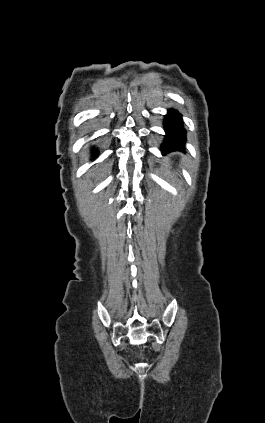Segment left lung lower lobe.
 I'll return each instance as SVG.
<instances>
[{
	"label": "left lung lower lobe",
	"instance_id": "obj_1",
	"mask_svg": "<svg viewBox=\"0 0 265 423\" xmlns=\"http://www.w3.org/2000/svg\"><path fill=\"white\" fill-rule=\"evenodd\" d=\"M163 124L166 136L164 143L161 145L162 151L166 153L182 150L186 140V131L183 127L181 115L171 109L165 116Z\"/></svg>",
	"mask_w": 265,
	"mask_h": 423
}]
</instances>
